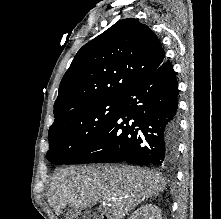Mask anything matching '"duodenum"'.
<instances>
[{
	"label": "duodenum",
	"instance_id": "duodenum-1",
	"mask_svg": "<svg viewBox=\"0 0 221 219\" xmlns=\"http://www.w3.org/2000/svg\"><path fill=\"white\" fill-rule=\"evenodd\" d=\"M98 219H112V218L106 214H101Z\"/></svg>",
	"mask_w": 221,
	"mask_h": 219
}]
</instances>
